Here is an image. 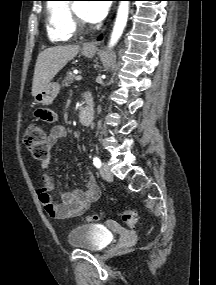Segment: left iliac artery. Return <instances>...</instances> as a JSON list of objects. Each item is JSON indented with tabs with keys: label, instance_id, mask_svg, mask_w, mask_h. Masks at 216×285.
<instances>
[{
	"label": "left iliac artery",
	"instance_id": "obj_1",
	"mask_svg": "<svg viewBox=\"0 0 216 285\" xmlns=\"http://www.w3.org/2000/svg\"><path fill=\"white\" fill-rule=\"evenodd\" d=\"M93 164L95 167L100 168L101 167V160L98 157H94Z\"/></svg>",
	"mask_w": 216,
	"mask_h": 285
}]
</instances>
